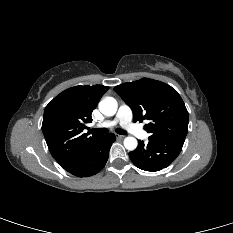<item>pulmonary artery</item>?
<instances>
[{"mask_svg": "<svg viewBox=\"0 0 233 233\" xmlns=\"http://www.w3.org/2000/svg\"><path fill=\"white\" fill-rule=\"evenodd\" d=\"M117 124L140 139H146L148 137L147 133L142 128L132 122V111L127 105H121L116 117L113 120L102 123L100 126L113 127Z\"/></svg>", "mask_w": 233, "mask_h": 233, "instance_id": "obj_1", "label": "pulmonary artery"}]
</instances>
